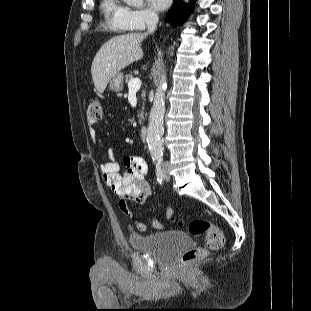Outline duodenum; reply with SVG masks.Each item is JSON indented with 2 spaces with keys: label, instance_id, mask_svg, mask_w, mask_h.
Returning a JSON list of instances; mask_svg holds the SVG:
<instances>
[{
  "label": "duodenum",
  "instance_id": "obj_1",
  "mask_svg": "<svg viewBox=\"0 0 311 311\" xmlns=\"http://www.w3.org/2000/svg\"><path fill=\"white\" fill-rule=\"evenodd\" d=\"M140 138L143 142L147 140L148 137V128L146 126H142L139 131Z\"/></svg>",
  "mask_w": 311,
  "mask_h": 311
}]
</instances>
